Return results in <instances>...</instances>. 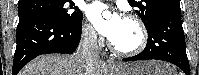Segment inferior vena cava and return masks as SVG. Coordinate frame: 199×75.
I'll use <instances>...</instances> for the list:
<instances>
[{
  "label": "inferior vena cava",
  "mask_w": 199,
  "mask_h": 75,
  "mask_svg": "<svg viewBox=\"0 0 199 75\" xmlns=\"http://www.w3.org/2000/svg\"><path fill=\"white\" fill-rule=\"evenodd\" d=\"M81 58L86 62L85 75H92L94 64L100 60L97 33L94 30L85 31L77 51Z\"/></svg>",
  "instance_id": "obj_1"
}]
</instances>
